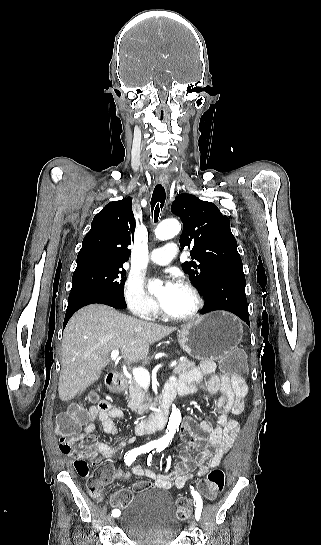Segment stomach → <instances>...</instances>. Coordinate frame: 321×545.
<instances>
[{
    "mask_svg": "<svg viewBox=\"0 0 321 545\" xmlns=\"http://www.w3.org/2000/svg\"><path fill=\"white\" fill-rule=\"evenodd\" d=\"M181 349L194 359H221L237 349L243 337L240 319L225 311L196 317L177 333Z\"/></svg>",
    "mask_w": 321,
    "mask_h": 545,
    "instance_id": "stomach-1",
    "label": "stomach"
}]
</instances>
